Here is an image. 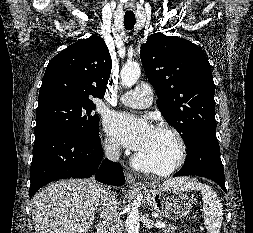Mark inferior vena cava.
Returning a JSON list of instances; mask_svg holds the SVG:
<instances>
[{"mask_svg": "<svg viewBox=\"0 0 253 233\" xmlns=\"http://www.w3.org/2000/svg\"><path fill=\"white\" fill-rule=\"evenodd\" d=\"M105 156L112 160L118 161L120 155L119 144L115 141H110L104 147ZM102 204L103 222L99 226V231L104 233H122L121 215L115 194L110 188H103L100 194Z\"/></svg>", "mask_w": 253, "mask_h": 233, "instance_id": "obj_1", "label": "inferior vena cava"}]
</instances>
